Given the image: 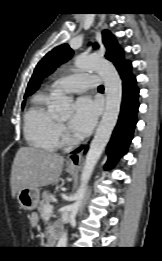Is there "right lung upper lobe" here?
Here are the masks:
<instances>
[{"label":"right lung upper lobe","instance_id":"obj_1","mask_svg":"<svg viewBox=\"0 0 162 261\" xmlns=\"http://www.w3.org/2000/svg\"><path fill=\"white\" fill-rule=\"evenodd\" d=\"M36 89H37V87H36V88H34V90L32 91V93H34ZM32 93H31V94H32Z\"/></svg>","mask_w":162,"mask_h":261}]
</instances>
